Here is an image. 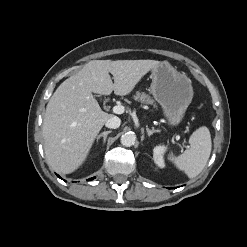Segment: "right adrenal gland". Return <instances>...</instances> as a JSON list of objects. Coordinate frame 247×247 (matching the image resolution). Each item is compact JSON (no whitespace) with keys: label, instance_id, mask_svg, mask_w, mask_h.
<instances>
[{"label":"right adrenal gland","instance_id":"obj_1","mask_svg":"<svg viewBox=\"0 0 247 247\" xmlns=\"http://www.w3.org/2000/svg\"><path fill=\"white\" fill-rule=\"evenodd\" d=\"M111 133V130L110 131H104L103 133H101L100 135L97 136V144L100 140V138L103 137V145L105 144V141H106V138H107V135Z\"/></svg>","mask_w":247,"mask_h":247}]
</instances>
